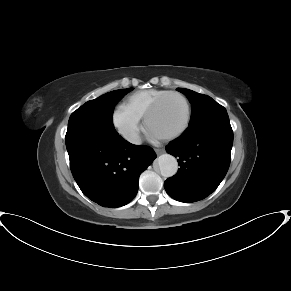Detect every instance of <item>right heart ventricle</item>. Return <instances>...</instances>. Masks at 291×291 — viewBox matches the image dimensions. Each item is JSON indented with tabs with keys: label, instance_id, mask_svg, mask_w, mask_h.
<instances>
[{
	"label": "right heart ventricle",
	"instance_id": "right-heart-ventricle-1",
	"mask_svg": "<svg viewBox=\"0 0 291 291\" xmlns=\"http://www.w3.org/2000/svg\"><path fill=\"white\" fill-rule=\"evenodd\" d=\"M167 92L169 91L164 89H146L136 91L126 98L125 105L142 118L154 102Z\"/></svg>",
	"mask_w": 291,
	"mask_h": 291
}]
</instances>
